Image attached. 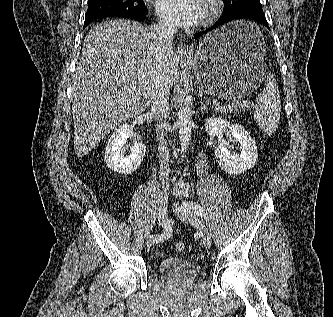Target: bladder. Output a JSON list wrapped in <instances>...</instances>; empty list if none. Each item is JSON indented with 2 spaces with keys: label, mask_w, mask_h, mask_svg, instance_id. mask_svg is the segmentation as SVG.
Wrapping results in <instances>:
<instances>
[{
  "label": "bladder",
  "mask_w": 333,
  "mask_h": 317,
  "mask_svg": "<svg viewBox=\"0 0 333 317\" xmlns=\"http://www.w3.org/2000/svg\"><path fill=\"white\" fill-rule=\"evenodd\" d=\"M158 268L162 273L183 272L195 268V264L184 257L169 256L160 260Z\"/></svg>",
  "instance_id": "31cf9c89"
}]
</instances>
